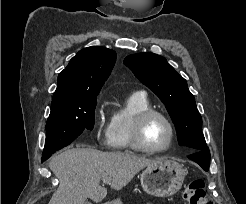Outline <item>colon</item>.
I'll return each mask as SVG.
<instances>
[{"instance_id":"5ec220e1","label":"colon","mask_w":246,"mask_h":204,"mask_svg":"<svg viewBox=\"0 0 246 204\" xmlns=\"http://www.w3.org/2000/svg\"><path fill=\"white\" fill-rule=\"evenodd\" d=\"M183 198L188 204H214L206 193L203 179L192 180L184 189Z\"/></svg>"}]
</instances>
